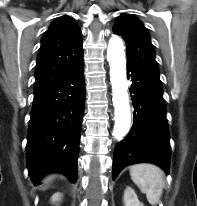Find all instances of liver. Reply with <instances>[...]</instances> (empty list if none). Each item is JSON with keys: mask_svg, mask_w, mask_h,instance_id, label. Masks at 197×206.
Wrapping results in <instances>:
<instances>
[{"mask_svg": "<svg viewBox=\"0 0 197 206\" xmlns=\"http://www.w3.org/2000/svg\"><path fill=\"white\" fill-rule=\"evenodd\" d=\"M52 177H48L47 179H45V182H47L48 180H50Z\"/></svg>", "mask_w": 197, "mask_h": 206, "instance_id": "liver-1", "label": "liver"}]
</instances>
